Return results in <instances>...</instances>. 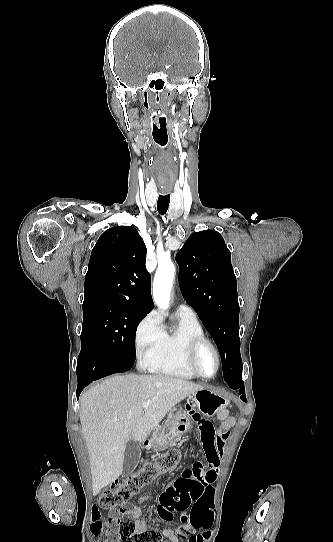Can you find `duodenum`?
Instances as JSON below:
<instances>
[{
  "label": "duodenum",
  "mask_w": 333,
  "mask_h": 542,
  "mask_svg": "<svg viewBox=\"0 0 333 542\" xmlns=\"http://www.w3.org/2000/svg\"><path fill=\"white\" fill-rule=\"evenodd\" d=\"M141 444L144 448H149L152 444V440L150 437H144L142 440H141Z\"/></svg>",
  "instance_id": "410a0bca"
}]
</instances>
